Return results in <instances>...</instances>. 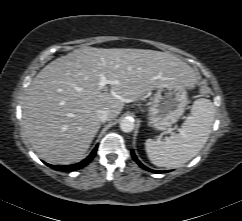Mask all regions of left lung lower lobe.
<instances>
[{
    "instance_id": "left-lung-lower-lobe-1",
    "label": "left lung lower lobe",
    "mask_w": 242,
    "mask_h": 221,
    "mask_svg": "<svg viewBox=\"0 0 242 221\" xmlns=\"http://www.w3.org/2000/svg\"><path fill=\"white\" fill-rule=\"evenodd\" d=\"M131 155H132V158L135 160V162H136L141 168H143V169H145V170H147V171H149V172H153V173H161V171L152 170V169H150V168L144 166V165H143V164L137 159V157H136V155H135V153H134L133 150L131 151ZM164 172H168V171H164Z\"/></svg>"
}]
</instances>
